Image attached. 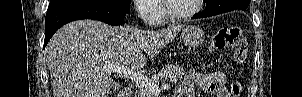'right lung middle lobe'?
<instances>
[{
	"label": "right lung middle lobe",
	"instance_id": "right-lung-middle-lobe-1",
	"mask_svg": "<svg viewBox=\"0 0 302 97\" xmlns=\"http://www.w3.org/2000/svg\"><path fill=\"white\" fill-rule=\"evenodd\" d=\"M50 1L51 2L49 7L64 5V4L79 2V1H99L115 6L116 8L121 9L126 13L130 11V0H50Z\"/></svg>",
	"mask_w": 302,
	"mask_h": 97
}]
</instances>
